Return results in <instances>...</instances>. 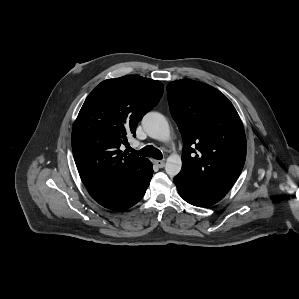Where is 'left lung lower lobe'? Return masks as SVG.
Returning <instances> with one entry per match:
<instances>
[{"mask_svg":"<svg viewBox=\"0 0 299 299\" xmlns=\"http://www.w3.org/2000/svg\"><path fill=\"white\" fill-rule=\"evenodd\" d=\"M174 183L180 196L194 206L206 207L213 205L226 195L224 192L201 185L179 174L175 176Z\"/></svg>","mask_w":299,"mask_h":299,"instance_id":"0a47b994","label":"left lung lower lobe"}]
</instances>
